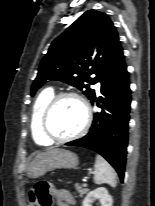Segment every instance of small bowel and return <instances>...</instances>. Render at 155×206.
I'll use <instances>...</instances> for the list:
<instances>
[{"label": "small bowel", "mask_w": 155, "mask_h": 206, "mask_svg": "<svg viewBox=\"0 0 155 206\" xmlns=\"http://www.w3.org/2000/svg\"><path fill=\"white\" fill-rule=\"evenodd\" d=\"M55 199L57 206H71L74 204V198L72 194L65 189H58L55 191ZM31 206H40L34 202H31Z\"/></svg>", "instance_id": "obj_1"}]
</instances>
